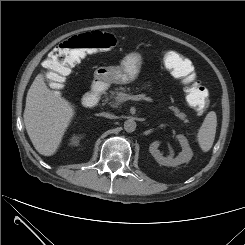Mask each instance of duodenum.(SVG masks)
Returning a JSON list of instances; mask_svg holds the SVG:
<instances>
[{
  "label": "duodenum",
  "instance_id": "1",
  "mask_svg": "<svg viewBox=\"0 0 245 245\" xmlns=\"http://www.w3.org/2000/svg\"><path fill=\"white\" fill-rule=\"evenodd\" d=\"M104 90V86L101 81H95L92 84L90 91H88L82 98V104L85 107H93L99 101Z\"/></svg>",
  "mask_w": 245,
  "mask_h": 245
}]
</instances>
